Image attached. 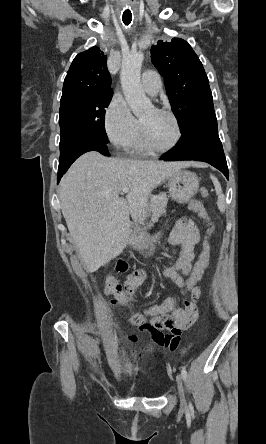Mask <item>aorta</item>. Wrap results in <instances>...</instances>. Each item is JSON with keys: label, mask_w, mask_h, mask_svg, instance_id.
Masks as SVG:
<instances>
[{"label": "aorta", "mask_w": 266, "mask_h": 444, "mask_svg": "<svg viewBox=\"0 0 266 444\" xmlns=\"http://www.w3.org/2000/svg\"><path fill=\"white\" fill-rule=\"evenodd\" d=\"M144 55L132 52L122 60L121 85L125 99L135 116L140 117L152 109L140 83V72Z\"/></svg>", "instance_id": "aorta-1"}]
</instances>
